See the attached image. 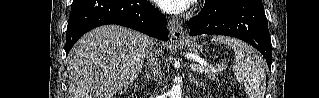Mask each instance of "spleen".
I'll return each instance as SVG.
<instances>
[{
	"instance_id": "1",
	"label": "spleen",
	"mask_w": 319,
	"mask_h": 98,
	"mask_svg": "<svg viewBox=\"0 0 319 98\" xmlns=\"http://www.w3.org/2000/svg\"><path fill=\"white\" fill-rule=\"evenodd\" d=\"M212 41L230 46L235 53L233 69L237 79L244 83L249 98H264L266 74L257 54L244 42L230 37L217 36Z\"/></svg>"
}]
</instances>
